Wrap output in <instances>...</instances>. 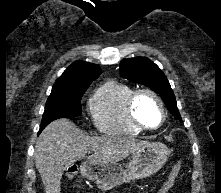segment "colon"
I'll list each match as a JSON object with an SVG mask.
<instances>
[{"label":"colon","mask_w":221,"mask_h":193,"mask_svg":"<svg viewBox=\"0 0 221 193\" xmlns=\"http://www.w3.org/2000/svg\"><path fill=\"white\" fill-rule=\"evenodd\" d=\"M180 168H181L180 162H178L174 165V167L169 175L168 180L163 184V186L158 190L157 193H159L161 189H163L165 191V193H168L172 189V187L175 184L176 178L179 174ZM75 170H76V167H73L71 169V172L73 173Z\"/></svg>","instance_id":"5ec220e1"}]
</instances>
